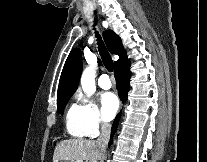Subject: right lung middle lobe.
<instances>
[{
	"instance_id": "obj_1",
	"label": "right lung middle lobe",
	"mask_w": 207,
	"mask_h": 162,
	"mask_svg": "<svg viewBox=\"0 0 207 162\" xmlns=\"http://www.w3.org/2000/svg\"><path fill=\"white\" fill-rule=\"evenodd\" d=\"M70 97L71 96L64 97V98H61V99L57 100V104H58L57 107H58V113L59 114H63V110H64V108H65V106H66V104H67Z\"/></svg>"
}]
</instances>
